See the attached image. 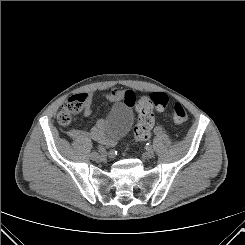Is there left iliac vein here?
Wrapping results in <instances>:
<instances>
[{
	"label": "left iliac vein",
	"instance_id": "obj_1",
	"mask_svg": "<svg viewBox=\"0 0 245 245\" xmlns=\"http://www.w3.org/2000/svg\"><path fill=\"white\" fill-rule=\"evenodd\" d=\"M145 156L147 158H153L154 157V151L153 149L149 148L146 152H145Z\"/></svg>",
	"mask_w": 245,
	"mask_h": 245
}]
</instances>
